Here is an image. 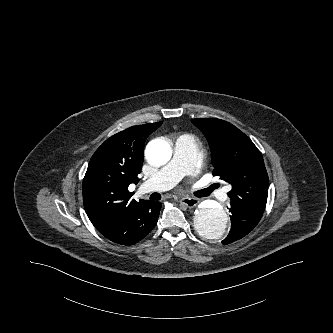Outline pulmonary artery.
Here are the masks:
<instances>
[{
	"label": "pulmonary artery",
	"instance_id": "1",
	"mask_svg": "<svg viewBox=\"0 0 333 333\" xmlns=\"http://www.w3.org/2000/svg\"><path fill=\"white\" fill-rule=\"evenodd\" d=\"M197 157V143L190 135H181L174 145L172 160L142 184L144 191H163L175 186L190 173Z\"/></svg>",
	"mask_w": 333,
	"mask_h": 333
}]
</instances>
